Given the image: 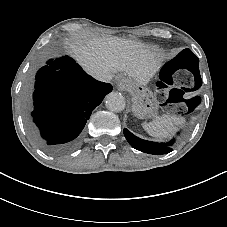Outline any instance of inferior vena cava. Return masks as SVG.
<instances>
[{"instance_id": "1", "label": "inferior vena cava", "mask_w": 227, "mask_h": 227, "mask_svg": "<svg viewBox=\"0 0 227 227\" xmlns=\"http://www.w3.org/2000/svg\"><path fill=\"white\" fill-rule=\"evenodd\" d=\"M97 80L110 83L113 78V73L111 71H105L102 74L94 76Z\"/></svg>"}]
</instances>
